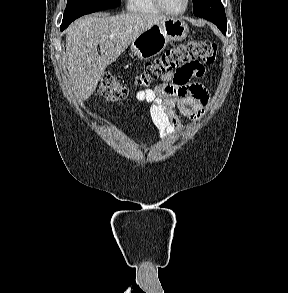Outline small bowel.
Instances as JSON below:
<instances>
[{
  "label": "small bowel",
  "mask_w": 288,
  "mask_h": 293,
  "mask_svg": "<svg viewBox=\"0 0 288 293\" xmlns=\"http://www.w3.org/2000/svg\"><path fill=\"white\" fill-rule=\"evenodd\" d=\"M205 68L195 62L175 72L164 74L154 88L136 93L139 102L151 105L150 115L162 139L171 137L181 129L177 111L191 120L197 121L204 114L209 104V94L198 83H191L192 78H202Z\"/></svg>",
  "instance_id": "obj_1"
}]
</instances>
